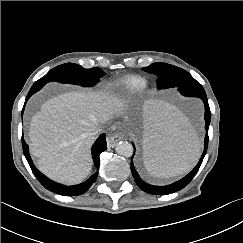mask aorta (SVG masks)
<instances>
[{
	"label": "aorta",
	"instance_id": "762f6f07",
	"mask_svg": "<svg viewBox=\"0 0 243 243\" xmlns=\"http://www.w3.org/2000/svg\"><path fill=\"white\" fill-rule=\"evenodd\" d=\"M116 152L124 157H131L133 154V146L127 141H121L116 145Z\"/></svg>",
	"mask_w": 243,
	"mask_h": 243
}]
</instances>
